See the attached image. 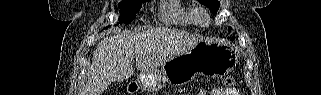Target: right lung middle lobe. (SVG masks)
<instances>
[{
	"mask_svg": "<svg viewBox=\"0 0 321 95\" xmlns=\"http://www.w3.org/2000/svg\"><path fill=\"white\" fill-rule=\"evenodd\" d=\"M146 0H124L119 3L120 17L119 23H130L136 18V12H138L142 6V3Z\"/></svg>",
	"mask_w": 321,
	"mask_h": 95,
	"instance_id": "obj_1",
	"label": "right lung middle lobe"
}]
</instances>
